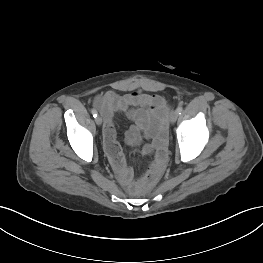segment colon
Masks as SVG:
<instances>
[{
	"label": "colon",
	"instance_id": "obj_1",
	"mask_svg": "<svg viewBox=\"0 0 263 263\" xmlns=\"http://www.w3.org/2000/svg\"><path fill=\"white\" fill-rule=\"evenodd\" d=\"M159 175L158 170H148L144 179L138 181L136 185L132 188L133 191H137L138 189L144 187L145 185L155 181Z\"/></svg>",
	"mask_w": 263,
	"mask_h": 263
}]
</instances>
